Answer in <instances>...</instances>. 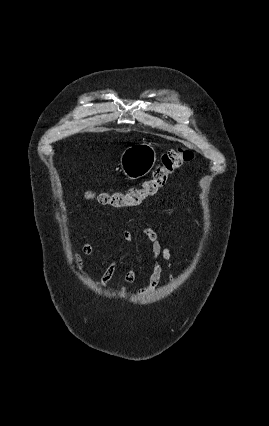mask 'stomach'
Segmentation results:
<instances>
[{
    "label": "stomach",
    "instance_id": "stomach-1",
    "mask_svg": "<svg viewBox=\"0 0 269 426\" xmlns=\"http://www.w3.org/2000/svg\"><path fill=\"white\" fill-rule=\"evenodd\" d=\"M156 151L150 143H138L124 150L120 157L123 174L130 180L146 176L156 162Z\"/></svg>",
    "mask_w": 269,
    "mask_h": 426
}]
</instances>
